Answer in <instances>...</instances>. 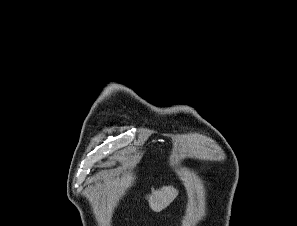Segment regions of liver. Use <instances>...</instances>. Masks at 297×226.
<instances>
[{
  "mask_svg": "<svg viewBox=\"0 0 297 226\" xmlns=\"http://www.w3.org/2000/svg\"><path fill=\"white\" fill-rule=\"evenodd\" d=\"M178 190L172 186H163L161 189L152 190L151 195H149L148 202L150 208L155 212H160L172 203V201L177 197Z\"/></svg>",
  "mask_w": 297,
  "mask_h": 226,
  "instance_id": "liver-1",
  "label": "liver"
}]
</instances>
